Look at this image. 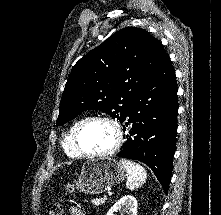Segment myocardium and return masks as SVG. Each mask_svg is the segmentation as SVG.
Returning a JSON list of instances; mask_svg holds the SVG:
<instances>
[{
	"instance_id": "1",
	"label": "myocardium",
	"mask_w": 221,
	"mask_h": 215,
	"mask_svg": "<svg viewBox=\"0 0 221 215\" xmlns=\"http://www.w3.org/2000/svg\"><path fill=\"white\" fill-rule=\"evenodd\" d=\"M94 121H103V122L108 123L114 132V143L111 146V148H109L108 150H106L104 152L89 153V152L84 151L80 146L79 138H80V134H81L82 130L88 124H90L91 122H94ZM73 141H74L75 149L77 150V152L79 153L80 156L87 157V158H103V157H107V156L114 154L120 148V146L122 145V142H123V133H122L120 125L118 124V122L115 119H113L109 116H106V115H95V116L85 118L80 123V125L77 127V129L74 133Z\"/></svg>"
}]
</instances>
